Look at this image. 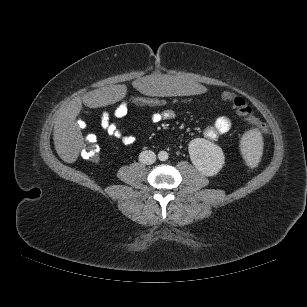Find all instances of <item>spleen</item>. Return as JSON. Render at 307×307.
<instances>
[{"mask_svg":"<svg viewBox=\"0 0 307 307\" xmlns=\"http://www.w3.org/2000/svg\"><path fill=\"white\" fill-rule=\"evenodd\" d=\"M241 159L248 166L257 165L262 159L261 140L257 132L245 134L240 140Z\"/></svg>","mask_w":307,"mask_h":307,"instance_id":"obj_1","label":"spleen"}]
</instances>
